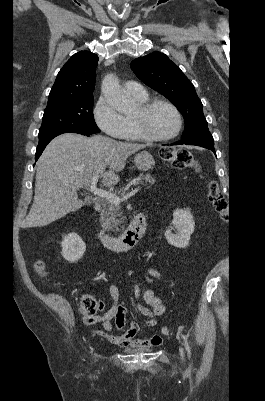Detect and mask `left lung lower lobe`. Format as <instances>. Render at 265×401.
Returning <instances> with one entry per match:
<instances>
[{"label": "left lung lower lobe", "mask_w": 265, "mask_h": 401, "mask_svg": "<svg viewBox=\"0 0 265 401\" xmlns=\"http://www.w3.org/2000/svg\"><path fill=\"white\" fill-rule=\"evenodd\" d=\"M180 144L201 146L213 151L214 154L216 155L214 149V139L209 131L186 139H181V141L176 142L172 145H180Z\"/></svg>", "instance_id": "0a47b994"}]
</instances>
